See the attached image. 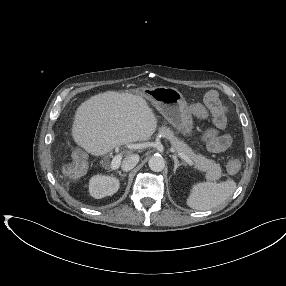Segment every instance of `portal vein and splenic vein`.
<instances>
[{"instance_id":"18ae733b","label":"portal vein and splenic vein","mask_w":286,"mask_h":286,"mask_svg":"<svg viewBox=\"0 0 286 286\" xmlns=\"http://www.w3.org/2000/svg\"><path fill=\"white\" fill-rule=\"evenodd\" d=\"M178 155L180 158H182L183 160H185L188 164L193 165V162L189 159L188 156H186L185 154H183L182 152H178ZM121 159H122V155L118 154L116 155L113 160H112V168L116 169L119 167L120 163H121Z\"/></svg>"}]
</instances>
